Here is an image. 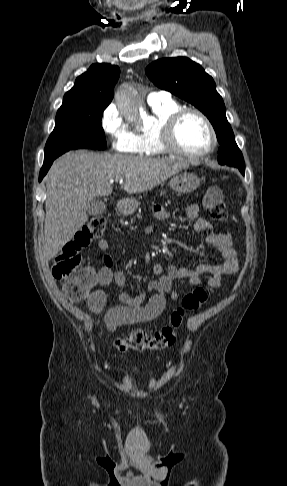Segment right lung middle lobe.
<instances>
[{"label": "right lung middle lobe", "instance_id": "obj_1", "mask_svg": "<svg viewBox=\"0 0 287 486\" xmlns=\"http://www.w3.org/2000/svg\"><path fill=\"white\" fill-rule=\"evenodd\" d=\"M107 106L108 104L89 103L60 107L55 128L45 146L44 162L71 149H105L106 139L101 119Z\"/></svg>", "mask_w": 287, "mask_h": 486}]
</instances>
